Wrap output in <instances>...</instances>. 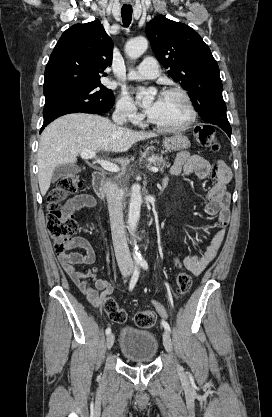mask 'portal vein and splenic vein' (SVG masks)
Masks as SVG:
<instances>
[{
    "mask_svg": "<svg viewBox=\"0 0 272 417\" xmlns=\"http://www.w3.org/2000/svg\"><path fill=\"white\" fill-rule=\"evenodd\" d=\"M81 157L83 159H95L96 163H98L103 169L110 171V172H119L120 168L114 164L111 163L109 161L106 160H102V159H98L96 158V153L90 150H85L81 152ZM151 171L152 172H158V168L157 167H151Z\"/></svg>",
    "mask_w": 272,
    "mask_h": 417,
    "instance_id": "18ae733b",
    "label": "portal vein and splenic vein"
}]
</instances>
